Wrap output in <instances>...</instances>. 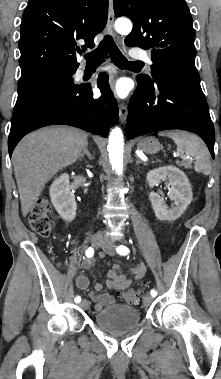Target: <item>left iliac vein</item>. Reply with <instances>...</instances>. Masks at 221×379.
I'll return each instance as SVG.
<instances>
[{"instance_id": "left-iliac-vein-1", "label": "left iliac vein", "mask_w": 221, "mask_h": 379, "mask_svg": "<svg viewBox=\"0 0 221 379\" xmlns=\"http://www.w3.org/2000/svg\"><path fill=\"white\" fill-rule=\"evenodd\" d=\"M102 249L104 250V252H106L109 255H113L115 253L114 243L108 239H106L104 243L102 244ZM152 301H153V297L151 295H146L144 297V305L146 307L150 306Z\"/></svg>"}]
</instances>
